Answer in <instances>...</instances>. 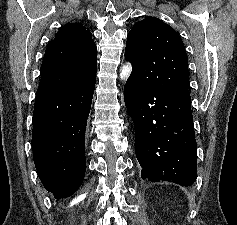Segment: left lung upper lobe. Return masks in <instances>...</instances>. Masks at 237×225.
Returning a JSON list of instances; mask_svg holds the SVG:
<instances>
[{
  "mask_svg": "<svg viewBox=\"0 0 237 225\" xmlns=\"http://www.w3.org/2000/svg\"><path fill=\"white\" fill-rule=\"evenodd\" d=\"M125 58L132 80L142 88L189 93L188 58L183 41L155 17L137 22L127 36Z\"/></svg>",
  "mask_w": 237,
  "mask_h": 225,
  "instance_id": "1",
  "label": "left lung upper lobe"
}]
</instances>
